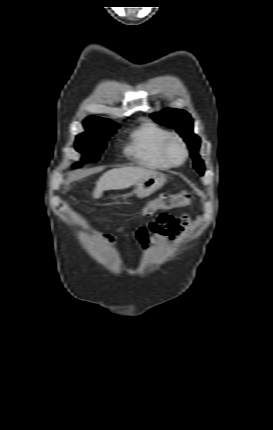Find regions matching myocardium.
Returning <instances> with one entry per match:
<instances>
[{
    "label": "myocardium",
    "mask_w": 273,
    "mask_h": 430,
    "mask_svg": "<svg viewBox=\"0 0 273 430\" xmlns=\"http://www.w3.org/2000/svg\"><path fill=\"white\" fill-rule=\"evenodd\" d=\"M172 142H177L182 149V156L177 161L174 160L169 153V147ZM161 153L165 161L173 167L182 165L188 158V148H187L186 142L181 136L173 133H171L169 136L165 138L161 147Z\"/></svg>",
    "instance_id": "obj_1"
}]
</instances>
